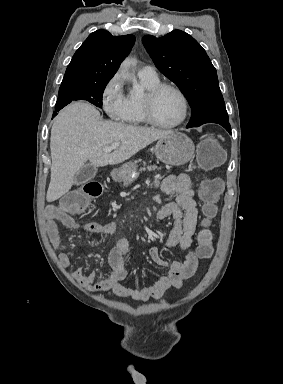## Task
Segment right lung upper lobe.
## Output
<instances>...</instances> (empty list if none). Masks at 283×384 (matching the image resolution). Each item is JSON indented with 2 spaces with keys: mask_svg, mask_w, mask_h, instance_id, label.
<instances>
[{
  "mask_svg": "<svg viewBox=\"0 0 283 384\" xmlns=\"http://www.w3.org/2000/svg\"><path fill=\"white\" fill-rule=\"evenodd\" d=\"M134 42L133 35L112 36L105 30L91 33L75 52L61 87L108 83Z\"/></svg>",
  "mask_w": 283,
  "mask_h": 384,
  "instance_id": "obj_1",
  "label": "right lung upper lobe"
}]
</instances>
